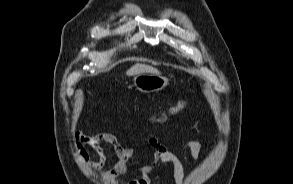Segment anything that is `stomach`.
Masks as SVG:
<instances>
[{"mask_svg": "<svg viewBox=\"0 0 293 184\" xmlns=\"http://www.w3.org/2000/svg\"><path fill=\"white\" fill-rule=\"evenodd\" d=\"M133 84L142 93L157 92L169 84V79L160 74L141 73L134 76Z\"/></svg>", "mask_w": 293, "mask_h": 184, "instance_id": "0dacf381", "label": "stomach"}]
</instances>
